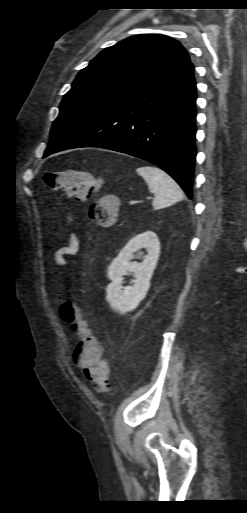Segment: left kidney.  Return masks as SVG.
<instances>
[{"label":"left kidney","instance_id":"1","mask_svg":"<svg viewBox=\"0 0 247 513\" xmlns=\"http://www.w3.org/2000/svg\"><path fill=\"white\" fill-rule=\"evenodd\" d=\"M145 249L147 255L141 263L131 262L133 253ZM160 254V241L154 232L147 231L133 237L112 261L108 277L112 281L107 288L106 299L113 311L125 314L134 310L145 298L150 280ZM134 272L132 286L123 288V275Z\"/></svg>","mask_w":247,"mask_h":513}]
</instances>
